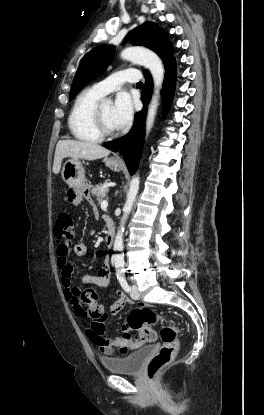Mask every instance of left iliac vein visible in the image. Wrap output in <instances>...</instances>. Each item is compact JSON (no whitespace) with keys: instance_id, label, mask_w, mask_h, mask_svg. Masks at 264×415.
Returning a JSON list of instances; mask_svg holds the SVG:
<instances>
[{"instance_id":"left-iliac-vein-1","label":"left iliac vein","mask_w":264,"mask_h":415,"mask_svg":"<svg viewBox=\"0 0 264 415\" xmlns=\"http://www.w3.org/2000/svg\"><path fill=\"white\" fill-rule=\"evenodd\" d=\"M130 295H131V298L134 299V300H137V299L140 298V294H139L137 285H132L131 286Z\"/></svg>"}]
</instances>
